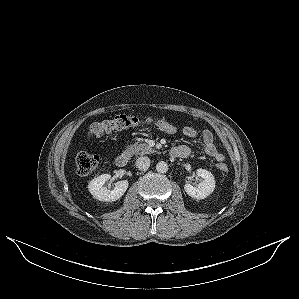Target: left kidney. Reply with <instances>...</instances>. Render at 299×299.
Listing matches in <instances>:
<instances>
[{"label": "left kidney", "instance_id": "left-kidney-1", "mask_svg": "<svg viewBox=\"0 0 299 299\" xmlns=\"http://www.w3.org/2000/svg\"><path fill=\"white\" fill-rule=\"evenodd\" d=\"M196 174L203 178V181L198 184L197 187L192 186L189 183L184 185L185 192L196 199H204L215 189V178L213 174L205 169H197Z\"/></svg>", "mask_w": 299, "mask_h": 299}]
</instances>
